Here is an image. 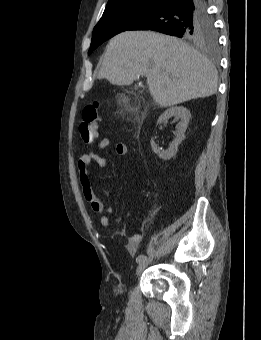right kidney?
Segmentation results:
<instances>
[{"instance_id": "obj_1", "label": "right kidney", "mask_w": 261, "mask_h": 340, "mask_svg": "<svg viewBox=\"0 0 261 340\" xmlns=\"http://www.w3.org/2000/svg\"><path fill=\"white\" fill-rule=\"evenodd\" d=\"M175 117L177 120L180 119V123L176 126V138L171 143L168 150L160 151L155 144L154 140H151V147L154 153H156L159 158L163 160H169L174 157L178 151V146L184 139V134L189 124V120L191 118L190 111L183 106H176L170 109H167L157 121V124H161L164 121H167L171 117Z\"/></svg>"}]
</instances>
